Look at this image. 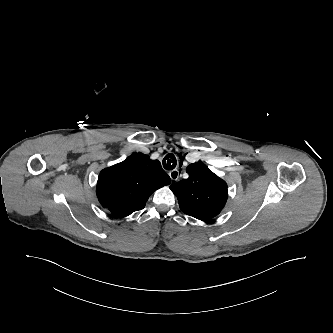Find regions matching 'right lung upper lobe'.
Masks as SVG:
<instances>
[{"label":"right lung upper lobe","mask_w":333,"mask_h":333,"mask_svg":"<svg viewBox=\"0 0 333 333\" xmlns=\"http://www.w3.org/2000/svg\"><path fill=\"white\" fill-rule=\"evenodd\" d=\"M170 183L160 162L139 152L102 170L96 193L104 208L117 217H125L143 209L155 190Z\"/></svg>","instance_id":"1"}]
</instances>
